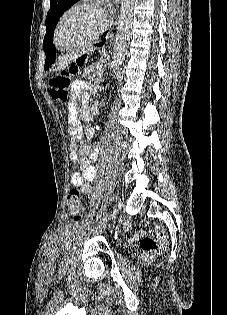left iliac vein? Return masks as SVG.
I'll use <instances>...</instances> for the list:
<instances>
[{"instance_id":"1","label":"left iliac vein","mask_w":227,"mask_h":315,"mask_svg":"<svg viewBox=\"0 0 227 315\" xmlns=\"http://www.w3.org/2000/svg\"><path fill=\"white\" fill-rule=\"evenodd\" d=\"M120 206H121V205H120L119 203L116 205V207L114 208V210L112 211V213H111V215H110V218H111V219L116 218V216H117V214H118V212H119Z\"/></svg>"}]
</instances>
